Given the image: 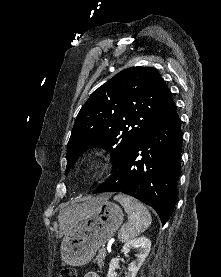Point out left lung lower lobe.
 <instances>
[{
  "label": "left lung lower lobe",
  "mask_w": 221,
  "mask_h": 277,
  "mask_svg": "<svg viewBox=\"0 0 221 277\" xmlns=\"http://www.w3.org/2000/svg\"><path fill=\"white\" fill-rule=\"evenodd\" d=\"M182 133L175 104L128 150L114 173L93 194L122 192L153 207L164 225L176 204Z\"/></svg>",
  "instance_id": "1"
}]
</instances>
